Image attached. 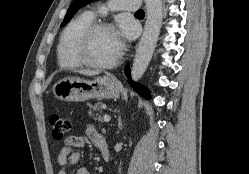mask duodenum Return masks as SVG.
Returning a JSON list of instances; mask_svg holds the SVG:
<instances>
[{"mask_svg":"<svg viewBox=\"0 0 249 174\" xmlns=\"http://www.w3.org/2000/svg\"><path fill=\"white\" fill-rule=\"evenodd\" d=\"M100 148H101V154H102L104 160L105 161H109L110 153H109L108 146L104 145V144H101Z\"/></svg>","mask_w":249,"mask_h":174,"instance_id":"410a0bca","label":"duodenum"}]
</instances>
